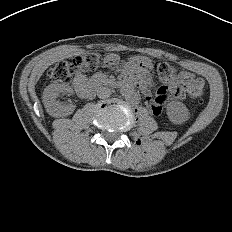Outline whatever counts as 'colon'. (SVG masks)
<instances>
[{
  "label": "colon",
  "mask_w": 232,
  "mask_h": 232,
  "mask_svg": "<svg viewBox=\"0 0 232 232\" xmlns=\"http://www.w3.org/2000/svg\"><path fill=\"white\" fill-rule=\"evenodd\" d=\"M101 62L98 53H85L74 57L70 61L58 63L49 72V78L54 83H67L76 73H86L95 70ZM157 75L161 82L168 84L175 78V69L167 63L155 65ZM203 85L199 82H192L186 86V92L190 99L199 100L202 95Z\"/></svg>",
  "instance_id": "obj_1"
}]
</instances>
